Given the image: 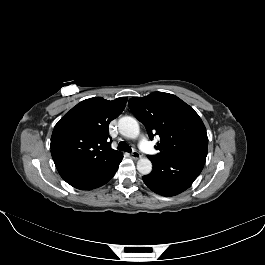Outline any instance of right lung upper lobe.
Segmentation results:
<instances>
[{
  "instance_id": "right-lung-upper-lobe-1",
  "label": "right lung upper lobe",
  "mask_w": 265,
  "mask_h": 265,
  "mask_svg": "<svg viewBox=\"0 0 265 265\" xmlns=\"http://www.w3.org/2000/svg\"><path fill=\"white\" fill-rule=\"evenodd\" d=\"M127 98L108 101L94 97L81 101L62 117L51 137V155L56 168L87 162H105L122 153L111 148L109 123L126 106Z\"/></svg>"
}]
</instances>
